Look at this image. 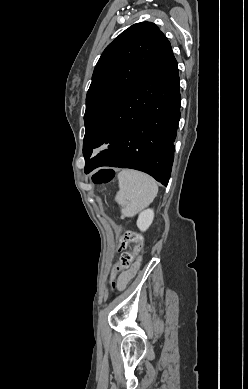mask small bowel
<instances>
[{"label":"small bowel","mask_w":248,"mask_h":389,"mask_svg":"<svg viewBox=\"0 0 248 389\" xmlns=\"http://www.w3.org/2000/svg\"><path fill=\"white\" fill-rule=\"evenodd\" d=\"M135 272H136V267L132 268L127 272L121 273L117 279L118 287L120 289H123L131 280V278L134 276Z\"/></svg>","instance_id":"obj_1"}]
</instances>
